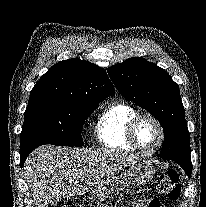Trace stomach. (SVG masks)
Instances as JSON below:
<instances>
[{
  "label": "stomach",
  "mask_w": 206,
  "mask_h": 207,
  "mask_svg": "<svg viewBox=\"0 0 206 207\" xmlns=\"http://www.w3.org/2000/svg\"><path fill=\"white\" fill-rule=\"evenodd\" d=\"M156 169L152 161L139 158L135 160L127 169L113 176L102 187L101 198H107L127 186H143L153 180Z\"/></svg>",
  "instance_id": "1"
}]
</instances>
